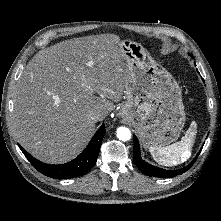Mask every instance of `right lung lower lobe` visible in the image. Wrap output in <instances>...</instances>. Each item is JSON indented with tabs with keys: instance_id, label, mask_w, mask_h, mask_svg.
I'll return each instance as SVG.
<instances>
[{
	"instance_id": "98d812e1",
	"label": "right lung lower lobe",
	"mask_w": 221,
	"mask_h": 221,
	"mask_svg": "<svg viewBox=\"0 0 221 221\" xmlns=\"http://www.w3.org/2000/svg\"><path fill=\"white\" fill-rule=\"evenodd\" d=\"M105 134L103 124L95 133L85 150L74 160L60 165L43 163L32 157L20 145L19 148L30 163L42 174L55 179H69L86 174L96 163L102 139Z\"/></svg>"
}]
</instances>
